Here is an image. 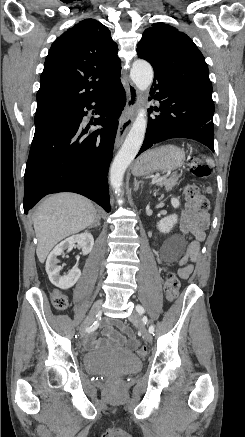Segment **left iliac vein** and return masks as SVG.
I'll list each match as a JSON object with an SVG mask.
<instances>
[{"label":"left iliac vein","instance_id":"4c4485c4","mask_svg":"<svg viewBox=\"0 0 245 437\" xmlns=\"http://www.w3.org/2000/svg\"><path fill=\"white\" fill-rule=\"evenodd\" d=\"M129 320L136 326L140 327L141 331H142V336L144 338V340H146L147 342H151L152 341V335L151 333L147 330V328L144 326V324L142 323V321L140 320L139 314L137 312H133L130 317Z\"/></svg>","mask_w":245,"mask_h":437}]
</instances>
